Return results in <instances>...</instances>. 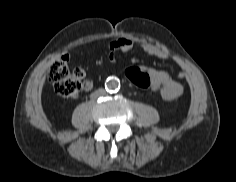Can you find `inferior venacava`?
<instances>
[{
    "label": "inferior vena cava",
    "mask_w": 236,
    "mask_h": 182,
    "mask_svg": "<svg viewBox=\"0 0 236 182\" xmlns=\"http://www.w3.org/2000/svg\"><path fill=\"white\" fill-rule=\"evenodd\" d=\"M105 93V90L104 89H98L95 94L96 95H103Z\"/></svg>",
    "instance_id": "inferior-vena-cava-1"
}]
</instances>
